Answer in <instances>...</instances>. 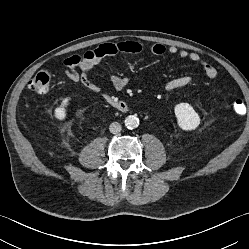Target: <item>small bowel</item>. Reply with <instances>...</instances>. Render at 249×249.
Returning <instances> with one entry per match:
<instances>
[{
	"mask_svg": "<svg viewBox=\"0 0 249 249\" xmlns=\"http://www.w3.org/2000/svg\"><path fill=\"white\" fill-rule=\"evenodd\" d=\"M144 46L138 41L123 40L117 42H106L100 44L94 50L86 53L84 56H72L64 61L65 76L73 82H80L86 89L94 93H104L103 88L91 80L90 73L93 67L103 59L114 57L117 55H140L144 52ZM150 52L156 56H162L166 53L178 55L180 58L188 59L192 62L199 63L205 75L208 78H215L217 75L216 69L210 64L203 61L202 57L195 52H190L184 49H179L176 46L166 47L163 44L155 43L150 47ZM194 78L190 75L180 76L169 80L164 90L171 92L180 88L191 85ZM110 82L115 90L122 91L128 84L127 76L114 73L110 74Z\"/></svg>",
	"mask_w": 249,
	"mask_h": 249,
	"instance_id": "c3829d8e",
	"label": "small bowel"
}]
</instances>
